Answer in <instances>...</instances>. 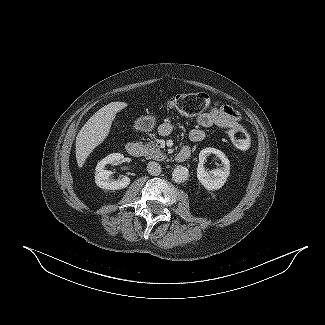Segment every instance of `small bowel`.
Returning a JSON list of instances; mask_svg holds the SVG:
<instances>
[{
	"mask_svg": "<svg viewBox=\"0 0 325 325\" xmlns=\"http://www.w3.org/2000/svg\"><path fill=\"white\" fill-rule=\"evenodd\" d=\"M241 115L240 113L228 105H222L214 107L208 112L200 115L196 122L200 127H220L230 129L234 125H240ZM173 129V126L169 122L163 123L159 127V132L162 135H168ZM189 138L192 142H201L205 138V132L201 128H195L191 130Z\"/></svg>",
	"mask_w": 325,
	"mask_h": 325,
	"instance_id": "small-bowel-1",
	"label": "small bowel"
}]
</instances>
